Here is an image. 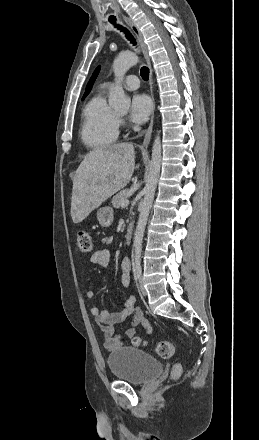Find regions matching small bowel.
Wrapping results in <instances>:
<instances>
[{
  "instance_id": "c3829d8e",
  "label": "small bowel",
  "mask_w": 259,
  "mask_h": 440,
  "mask_svg": "<svg viewBox=\"0 0 259 440\" xmlns=\"http://www.w3.org/2000/svg\"><path fill=\"white\" fill-rule=\"evenodd\" d=\"M112 241L111 237L104 238V242L109 243ZM90 261L94 264L102 267H107L110 263V252L107 249L96 250L90 257ZM130 270L131 261L128 257H124L121 261V284L123 287H129L130 285ZM86 297L92 299L95 297L94 290H87ZM95 322L99 326L103 337L104 345L108 349H114L123 344L126 339H130L135 335V327L142 325L147 333L152 332V327L148 319L144 316L142 310L136 306V300L133 295L129 296L123 304L121 310L116 312H110L107 309H100L97 306H92L90 309ZM131 318L130 325L124 335L116 332V325L125 322Z\"/></svg>"
}]
</instances>
